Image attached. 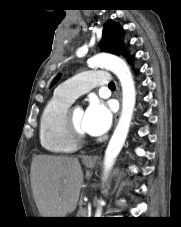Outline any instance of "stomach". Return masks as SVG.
Wrapping results in <instances>:
<instances>
[{
	"instance_id": "stomach-1",
	"label": "stomach",
	"mask_w": 181,
	"mask_h": 227,
	"mask_svg": "<svg viewBox=\"0 0 181 227\" xmlns=\"http://www.w3.org/2000/svg\"><path fill=\"white\" fill-rule=\"evenodd\" d=\"M85 166L87 168H94L95 165H96V162L95 161H90V162H84Z\"/></svg>"
}]
</instances>
